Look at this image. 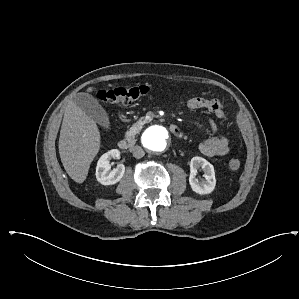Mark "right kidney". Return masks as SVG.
<instances>
[{"label": "right kidney", "mask_w": 299, "mask_h": 299, "mask_svg": "<svg viewBox=\"0 0 299 299\" xmlns=\"http://www.w3.org/2000/svg\"><path fill=\"white\" fill-rule=\"evenodd\" d=\"M120 152L117 149H113L103 154L96 166V178L97 181L103 185H113L121 180L125 173V166L119 164L116 168L111 170L110 160L112 158H118Z\"/></svg>", "instance_id": "ca27d5eb"}]
</instances>
